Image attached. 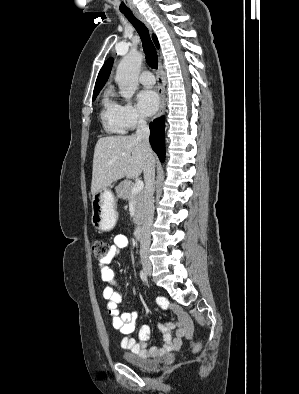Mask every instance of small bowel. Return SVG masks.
Returning a JSON list of instances; mask_svg holds the SVG:
<instances>
[{"instance_id": "obj_1", "label": "small bowel", "mask_w": 299, "mask_h": 394, "mask_svg": "<svg viewBox=\"0 0 299 394\" xmlns=\"http://www.w3.org/2000/svg\"><path fill=\"white\" fill-rule=\"evenodd\" d=\"M129 245V238L126 235H117L114 237L113 244L110 247L108 257L99 264L100 277L104 282L115 284L114 272L109 264L119 256L122 249ZM103 297L107 300V310L111 316V323L114 329L124 335L121 346L130 350L132 353L140 355L144 358L163 356L172 351L181 348L184 339H191L193 335V322L190 317L177 305H172L164 298H157L158 305L164 309L171 311L177 318V329L175 337L172 336V329L175 325L169 322L159 324L162 332L164 344L162 347L147 348V341L151 334V327L143 325L139 331V341L132 336L135 330V321L138 317L137 312L120 313L118 304L122 300L121 294L113 287L107 286L103 290Z\"/></svg>"}]
</instances>
